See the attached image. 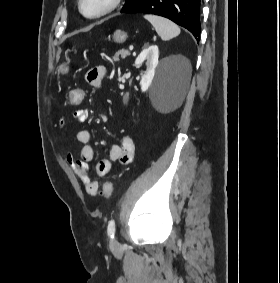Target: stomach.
<instances>
[{
    "mask_svg": "<svg viewBox=\"0 0 280 283\" xmlns=\"http://www.w3.org/2000/svg\"><path fill=\"white\" fill-rule=\"evenodd\" d=\"M127 38V33L122 30H116L113 34V40L116 43H123ZM69 63L70 59L66 56L65 62H63L59 67V73L66 74L69 71Z\"/></svg>",
    "mask_w": 280,
    "mask_h": 283,
    "instance_id": "obj_1",
    "label": "stomach"
}]
</instances>
